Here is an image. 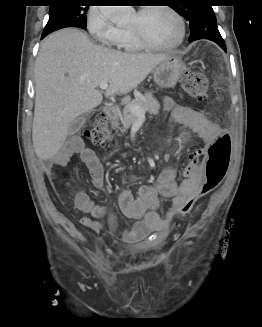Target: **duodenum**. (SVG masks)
Segmentation results:
<instances>
[{"instance_id":"duodenum-1","label":"duodenum","mask_w":262,"mask_h":327,"mask_svg":"<svg viewBox=\"0 0 262 327\" xmlns=\"http://www.w3.org/2000/svg\"><path fill=\"white\" fill-rule=\"evenodd\" d=\"M103 112L110 118H114L118 115V108L115 105L108 104L104 106Z\"/></svg>"}]
</instances>
